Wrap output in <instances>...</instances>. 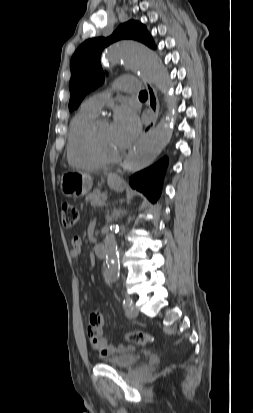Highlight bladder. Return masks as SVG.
<instances>
[{"label": "bladder", "mask_w": 253, "mask_h": 413, "mask_svg": "<svg viewBox=\"0 0 253 413\" xmlns=\"http://www.w3.org/2000/svg\"><path fill=\"white\" fill-rule=\"evenodd\" d=\"M139 355L128 349L120 350L118 353L105 359V362L121 369L129 368L133 366L138 360Z\"/></svg>", "instance_id": "obj_1"}]
</instances>
